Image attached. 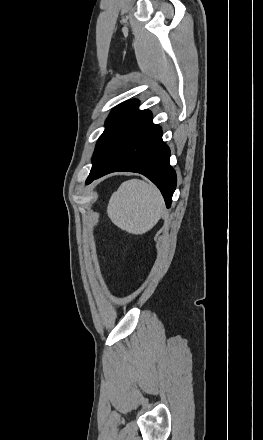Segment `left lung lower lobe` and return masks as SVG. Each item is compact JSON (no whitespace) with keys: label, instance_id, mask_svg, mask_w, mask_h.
<instances>
[{"label":"left lung lower lobe","instance_id":"obj_1","mask_svg":"<svg viewBox=\"0 0 263 440\" xmlns=\"http://www.w3.org/2000/svg\"><path fill=\"white\" fill-rule=\"evenodd\" d=\"M170 150L162 141V130L153 124L152 114L140 110L128 125L106 165L90 173L86 184L115 171L137 172L148 177L170 207L176 188V173L169 163Z\"/></svg>","mask_w":263,"mask_h":440}]
</instances>
